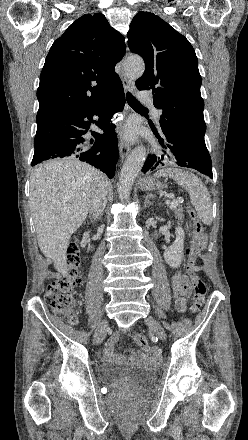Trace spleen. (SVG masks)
<instances>
[{
	"instance_id": "obj_1",
	"label": "spleen",
	"mask_w": 248,
	"mask_h": 440,
	"mask_svg": "<svg viewBox=\"0 0 248 440\" xmlns=\"http://www.w3.org/2000/svg\"><path fill=\"white\" fill-rule=\"evenodd\" d=\"M154 177L172 178L178 185L185 188L199 219L206 225L212 223V201L208 189L193 173L178 168H166L157 171Z\"/></svg>"
}]
</instances>
